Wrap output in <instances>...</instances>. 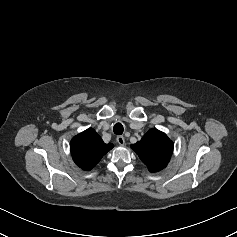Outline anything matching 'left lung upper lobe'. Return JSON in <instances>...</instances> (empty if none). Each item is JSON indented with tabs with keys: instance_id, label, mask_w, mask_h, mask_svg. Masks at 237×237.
<instances>
[{
	"instance_id": "obj_1",
	"label": "left lung upper lobe",
	"mask_w": 237,
	"mask_h": 237,
	"mask_svg": "<svg viewBox=\"0 0 237 237\" xmlns=\"http://www.w3.org/2000/svg\"><path fill=\"white\" fill-rule=\"evenodd\" d=\"M173 146V142L165 133L153 128L131 147L150 172H157L167 166L173 152Z\"/></svg>"
}]
</instances>
